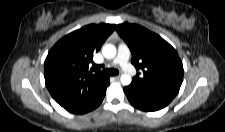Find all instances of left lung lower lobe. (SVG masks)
I'll list each match as a JSON object with an SVG mask.
<instances>
[{
    "label": "left lung lower lobe",
    "instance_id": "1",
    "mask_svg": "<svg viewBox=\"0 0 225 132\" xmlns=\"http://www.w3.org/2000/svg\"><path fill=\"white\" fill-rule=\"evenodd\" d=\"M124 92L134 107L150 112L164 108L175 97L166 93L144 91L131 84L124 87Z\"/></svg>",
    "mask_w": 225,
    "mask_h": 132
}]
</instances>
